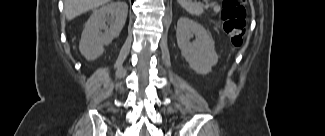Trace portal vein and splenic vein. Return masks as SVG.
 Segmentation results:
<instances>
[{
  "label": "portal vein and splenic vein",
  "mask_w": 325,
  "mask_h": 136,
  "mask_svg": "<svg viewBox=\"0 0 325 136\" xmlns=\"http://www.w3.org/2000/svg\"><path fill=\"white\" fill-rule=\"evenodd\" d=\"M209 6H210V4H206V5H204L205 9H208ZM214 9L216 10V7H214Z\"/></svg>",
  "instance_id": "portal-vein-and-splenic-vein-1"
}]
</instances>
